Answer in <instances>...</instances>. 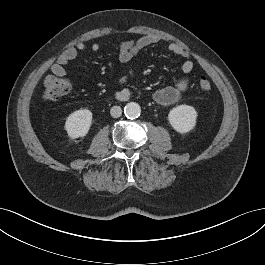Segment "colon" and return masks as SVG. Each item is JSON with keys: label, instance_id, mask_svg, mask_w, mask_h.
<instances>
[{"label": "colon", "instance_id": "obj_1", "mask_svg": "<svg viewBox=\"0 0 265 265\" xmlns=\"http://www.w3.org/2000/svg\"><path fill=\"white\" fill-rule=\"evenodd\" d=\"M199 89L209 92L212 89L210 81L201 77L198 83ZM69 91V82L57 75H47L43 82V98L45 101H55L66 95Z\"/></svg>", "mask_w": 265, "mask_h": 265}]
</instances>
